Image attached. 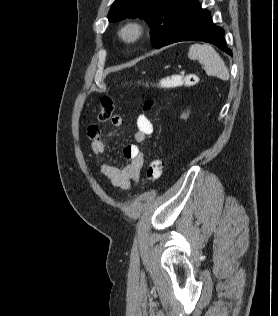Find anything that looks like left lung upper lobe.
I'll list each match as a JSON object with an SVG mask.
<instances>
[{
    "label": "left lung upper lobe",
    "mask_w": 278,
    "mask_h": 316,
    "mask_svg": "<svg viewBox=\"0 0 278 316\" xmlns=\"http://www.w3.org/2000/svg\"><path fill=\"white\" fill-rule=\"evenodd\" d=\"M191 0H115L108 18L116 22L127 17L144 18L153 29L152 46L161 48L172 36Z\"/></svg>",
    "instance_id": "1"
}]
</instances>
